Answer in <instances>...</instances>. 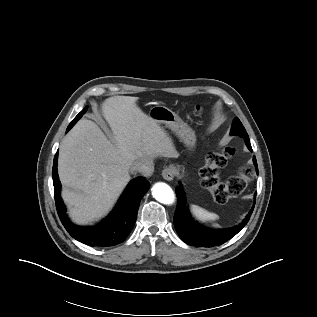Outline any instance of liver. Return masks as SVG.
Wrapping results in <instances>:
<instances>
[{
    "label": "liver",
    "instance_id": "1",
    "mask_svg": "<svg viewBox=\"0 0 317 317\" xmlns=\"http://www.w3.org/2000/svg\"><path fill=\"white\" fill-rule=\"evenodd\" d=\"M138 99L113 96L103 102L102 115L112 137L95 122L83 119L60 145L62 198L77 224L100 219L113 208L131 179L129 171L135 162L179 156L173 139L138 107Z\"/></svg>",
    "mask_w": 317,
    "mask_h": 317
}]
</instances>
